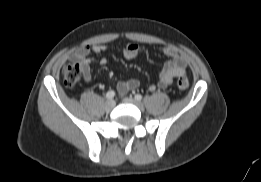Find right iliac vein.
<instances>
[{
    "label": "right iliac vein",
    "mask_w": 261,
    "mask_h": 182,
    "mask_svg": "<svg viewBox=\"0 0 261 182\" xmlns=\"http://www.w3.org/2000/svg\"><path fill=\"white\" fill-rule=\"evenodd\" d=\"M114 107H115V101H113V100H108V101H106V103H105V109H106L107 111H111Z\"/></svg>",
    "instance_id": "obj_1"
}]
</instances>
